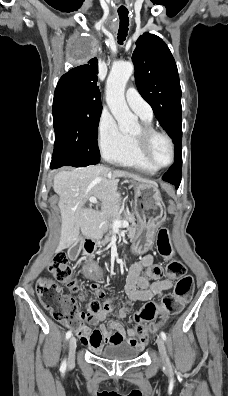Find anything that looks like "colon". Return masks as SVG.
Wrapping results in <instances>:
<instances>
[{
  "mask_svg": "<svg viewBox=\"0 0 228 396\" xmlns=\"http://www.w3.org/2000/svg\"><path fill=\"white\" fill-rule=\"evenodd\" d=\"M157 247L163 257H172L170 236L166 228H162L158 232ZM49 271L56 281L47 278L39 279L36 286L37 296L51 316L64 325L78 330L83 326L82 320L98 315L104 309L105 303H108V301L101 302L92 299L87 303V312L85 313L80 311L74 297L64 294L58 283L66 286L72 292L80 290L73 268L64 252H59L53 257L49 263ZM166 271L170 280L177 281L174 292L165 296L160 304L150 302L139 310L135 316L136 332L139 337H145L149 332L156 331L157 326L149 323L157 316L178 314L192 297L194 280L187 274L185 265L179 261L171 260ZM124 308L128 310L130 304Z\"/></svg>",
  "mask_w": 228,
  "mask_h": 396,
  "instance_id": "obj_1",
  "label": "colon"
}]
</instances>
